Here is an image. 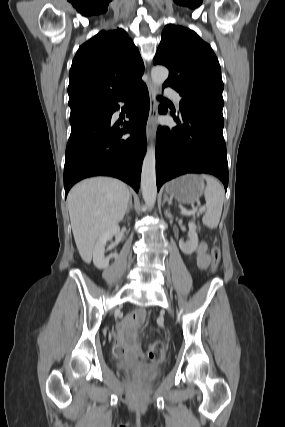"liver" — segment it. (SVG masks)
Returning a JSON list of instances; mask_svg holds the SVG:
<instances>
[{"label":"liver","instance_id":"liver-1","mask_svg":"<svg viewBox=\"0 0 285 427\" xmlns=\"http://www.w3.org/2000/svg\"><path fill=\"white\" fill-rule=\"evenodd\" d=\"M130 192L125 183L95 177L76 184L68 194L72 232L79 254L90 263L95 242L123 219Z\"/></svg>","mask_w":285,"mask_h":427}]
</instances>
